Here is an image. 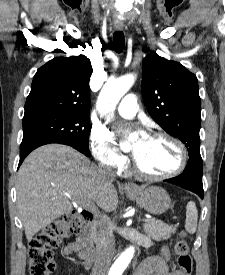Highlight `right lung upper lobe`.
<instances>
[{
	"label": "right lung upper lobe",
	"mask_w": 225,
	"mask_h": 275,
	"mask_svg": "<svg viewBox=\"0 0 225 275\" xmlns=\"http://www.w3.org/2000/svg\"><path fill=\"white\" fill-rule=\"evenodd\" d=\"M91 73V62L84 55L50 60L33 78L24 116L46 112L88 113Z\"/></svg>",
	"instance_id": "obj_1"
}]
</instances>
